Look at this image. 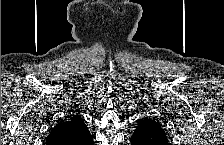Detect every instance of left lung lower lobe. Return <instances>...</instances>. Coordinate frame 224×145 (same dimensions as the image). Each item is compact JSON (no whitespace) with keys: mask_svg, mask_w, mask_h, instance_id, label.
<instances>
[{"mask_svg":"<svg viewBox=\"0 0 224 145\" xmlns=\"http://www.w3.org/2000/svg\"><path fill=\"white\" fill-rule=\"evenodd\" d=\"M130 141L131 145H168L164 130L148 119L139 121Z\"/></svg>","mask_w":224,"mask_h":145,"instance_id":"1","label":"left lung lower lobe"}]
</instances>
